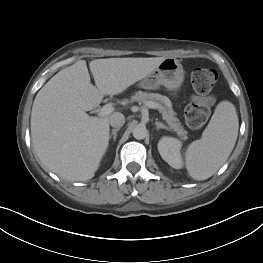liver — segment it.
I'll list each match as a JSON object with an SVG mask.
<instances>
[{
	"label": "liver",
	"instance_id": "obj_1",
	"mask_svg": "<svg viewBox=\"0 0 263 263\" xmlns=\"http://www.w3.org/2000/svg\"><path fill=\"white\" fill-rule=\"evenodd\" d=\"M164 57L85 60L55 74L37 93L31 136L42 165L69 181L94 177L109 144V116L92 117L105 95H117L151 74Z\"/></svg>",
	"mask_w": 263,
	"mask_h": 263
}]
</instances>
